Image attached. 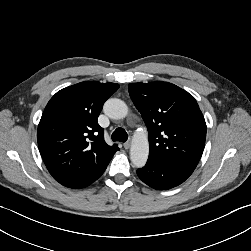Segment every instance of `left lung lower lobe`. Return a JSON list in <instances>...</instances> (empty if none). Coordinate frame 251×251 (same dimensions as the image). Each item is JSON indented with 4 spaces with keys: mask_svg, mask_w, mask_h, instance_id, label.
<instances>
[{
    "mask_svg": "<svg viewBox=\"0 0 251 251\" xmlns=\"http://www.w3.org/2000/svg\"><path fill=\"white\" fill-rule=\"evenodd\" d=\"M193 171V168L181 164L148 160L137 174L150 187L165 190L183 183Z\"/></svg>",
    "mask_w": 251,
    "mask_h": 251,
    "instance_id": "obj_1",
    "label": "left lung lower lobe"
}]
</instances>
